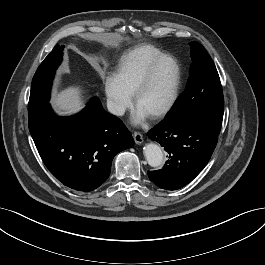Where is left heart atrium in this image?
Masks as SVG:
<instances>
[{"label":"left heart atrium","instance_id":"left-heart-atrium-1","mask_svg":"<svg viewBox=\"0 0 265 265\" xmlns=\"http://www.w3.org/2000/svg\"><path fill=\"white\" fill-rule=\"evenodd\" d=\"M147 114L144 113L143 111L136 109L135 114H134V122L135 123H140L144 121L147 118Z\"/></svg>","mask_w":265,"mask_h":265}]
</instances>
